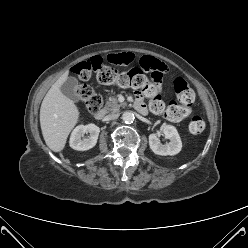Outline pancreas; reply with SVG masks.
<instances>
[{"mask_svg": "<svg viewBox=\"0 0 248 248\" xmlns=\"http://www.w3.org/2000/svg\"><path fill=\"white\" fill-rule=\"evenodd\" d=\"M125 104H118L117 98L113 97L108 101L104 107V110L107 112H119L120 108Z\"/></svg>", "mask_w": 248, "mask_h": 248, "instance_id": "cf45deb5", "label": "pancreas"}]
</instances>
